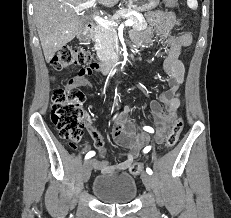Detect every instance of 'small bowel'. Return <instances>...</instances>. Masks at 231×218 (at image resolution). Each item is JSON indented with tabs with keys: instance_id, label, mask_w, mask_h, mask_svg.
Instances as JSON below:
<instances>
[{
	"instance_id": "small-bowel-1",
	"label": "small bowel",
	"mask_w": 231,
	"mask_h": 218,
	"mask_svg": "<svg viewBox=\"0 0 231 218\" xmlns=\"http://www.w3.org/2000/svg\"><path fill=\"white\" fill-rule=\"evenodd\" d=\"M146 19L149 28L134 35L135 43L144 47L151 44L155 36H159L168 48L163 62V70L167 75L169 88L160 93L159 101L151 100L149 103V111L157 128L155 140L161 144L181 104V87L184 81L185 67L180 55L190 46L192 37L189 33L178 36L171 35L175 24L173 12L150 11L146 13ZM99 66L98 63H90L83 69H77V74L71 83L77 87H91L92 83L87 77ZM133 111L134 107L131 106H125L123 110L124 114H130ZM88 130L94 147L99 152V157L91 161V166L104 174H124L134 159L140 155L144 143L148 140L144 135H136L130 125L120 121L113 130V138L118 145L127 148V150L118 153L113 158L105 159V144L101 133L91 123H88ZM84 149H90V145H85ZM118 159L122 161L116 163Z\"/></svg>"
}]
</instances>
